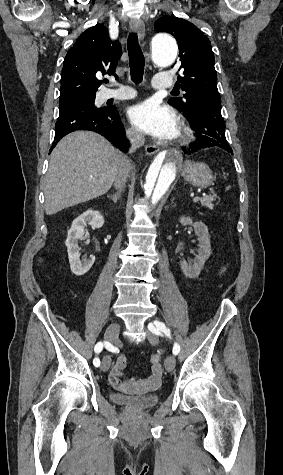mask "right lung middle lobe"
<instances>
[{"mask_svg":"<svg viewBox=\"0 0 283 475\" xmlns=\"http://www.w3.org/2000/svg\"><path fill=\"white\" fill-rule=\"evenodd\" d=\"M94 100V92H85L76 89H66L60 91L59 106H66L72 103H85L95 107Z\"/></svg>","mask_w":283,"mask_h":475,"instance_id":"right-lung-middle-lobe-1","label":"right lung middle lobe"}]
</instances>
